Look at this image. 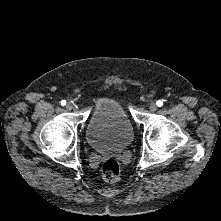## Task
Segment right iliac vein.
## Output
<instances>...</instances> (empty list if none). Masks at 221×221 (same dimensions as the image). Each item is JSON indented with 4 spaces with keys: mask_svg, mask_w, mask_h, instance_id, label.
Segmentation results:
<instances>
[{
    "mask_svg": "<svg viewBox=\"0 0 221 221\" xmlns=\"http://www.w3.org/2000/svg\"><path fill=\"white\" fill-rule=\"evenodd\" d=\"M66 109L67 110H72L73 109V105L72 104H70V103H68L67 105H66Z\"/></svg>",
    "mask_w": 221,
    "mask_h": 221,
    "instance_id": "63e3f726",
    "label": "right iliac vein"
}]
</instances>
